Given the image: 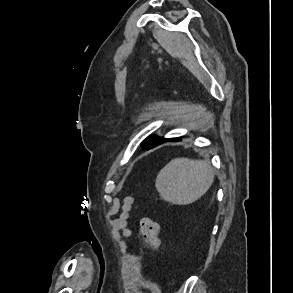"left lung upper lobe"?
<instances>
[{"mask_svg":"<svg viewBox=\"0 0 293 293\" xmlns=\"http://www.w3.org/2000/svg\"><path fill=\"white\" fill-rule=\"evenodd\" d=\"M160 140H161V138H158L156 136H151V137L147 138L146 140H144L141 145L144 149H151Z\"/></svg>","mask_w":293,"mask_h":293,"instance_id":"left-lung-upper-lobe-1","label":"left lung upper lobe"}]
</instances>
